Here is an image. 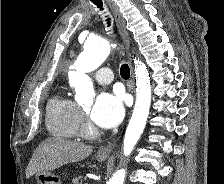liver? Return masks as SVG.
Returning <instances> with one entry per match:
<instances>
[{"label":"liver","mask_w":224,"mask_h":184,"mask_svg":"<svg viewBox=\"0 0 224 184\" xmlns=\"http://www.w3.org/2000/svg\"><path fill=\"white\" fill-rule=\"evenodd\" d=\"M89 145L59 137L42 141L34 151L26 168V178L40 171H53L67 163L81 161L92 153Z\"/></svg>","instance_id":"liver-1"}]
</instances>
